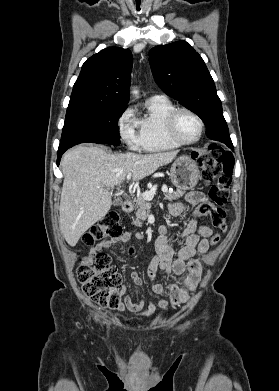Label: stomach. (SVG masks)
<instances>
[{"label":"stomach","mask_w":279,"mask_h":391,"mask_svg":"<svg viewBox=\"0 0 279 391\" xmlns=\"http://www.w3.org/2000/svg\"><path fill=\"white\" fill-rule=\"evenodd\" d=\"M199 176L198 166L190 157L182 156L171 165L170 178L179 190L186 191L194 188Z\"/></svg>","instance_id":"0dacf381"}]
</instances>
